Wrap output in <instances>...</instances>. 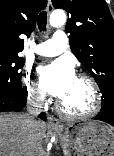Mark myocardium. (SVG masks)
<instances>
[{"label":"myocardium","mask_w":114,"mask_h":156,"mask_svg":"<svg viewBox=\"0 0 114 156\" xmlns=\"http://www.w3.org/2000/svg\"><path fill=\"white\" fill-rule=\"evenodd\" d=\"M77 78L82 79L89 84V86L92 90V94H93L92 107L88 111L83 112V113H72V112H69L68 110H66L65 107L63 106L62 102L59 100L57 102V110L62 116L69 118V119L90 118V117L96 115L101 108L102 100H101L100 89H99L97 82L89 74L79 73L77 75Z\"/></svg>","instance_id":"1"}]
</instances>
